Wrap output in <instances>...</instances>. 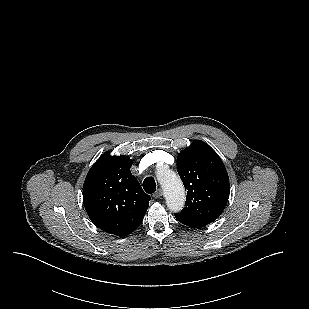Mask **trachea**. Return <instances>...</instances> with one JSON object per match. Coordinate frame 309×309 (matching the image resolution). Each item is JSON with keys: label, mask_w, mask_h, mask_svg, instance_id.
<instances>
[{"label": "trachea", "mask_w": 309, "mask_h": 309, "mask_svg": "<svg viewBox=\"0 0 309 309\" xmlns=\"http://www.w3.org/2000/svg\"><path fill=\"white\" fill-rule=\"evenodd\" d=\"M143 188L144 190L149 193L152 194L156 191V183L154 178L152 177H147L144 181H143Z\"/></svg>", "instance_id": "1"}]
</instances>
